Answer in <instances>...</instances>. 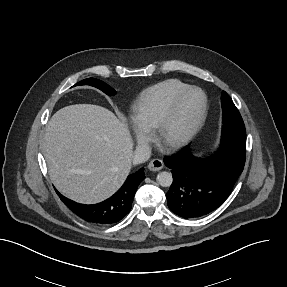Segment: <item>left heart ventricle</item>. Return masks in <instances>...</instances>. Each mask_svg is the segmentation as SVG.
<instances>
[{
	"mask_svg": "<svg viewBox=\"0 0 287 287\" xmlns=\"http://www.w3.org/2000/svg\"><path fill=\"white\" fill-rule=\"evenodd\" d=\"M199 104V95L190 93L185 96L174 115L168 130L170 138L177 137L193 120Z\"/></svg>",
	"mask_w": 287,
	"mask_h": 287,
	"instance_id": "1",
	"label": "left heart ventricle"
}]
</instances>
